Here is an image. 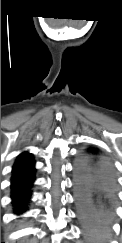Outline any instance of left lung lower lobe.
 I'll use <instances>...</instances> for the list:
<instances>
[{"label": "left lung lower lobe", "mask_w": 122, "mask_h": 243, "mask_svg": "<svg viewBox=\"0 0 122 243\" xmlns=\"http://www.w3.org/2000/svg\"><path fill=\"white\" fill-rule=\"evenodd\" d=\"M81 153L74 171L79 219L87 243H107L116 201V177L111 162L93 148Z\"/></svg>", "instance_id": "0a47b994"}]
</instances>
